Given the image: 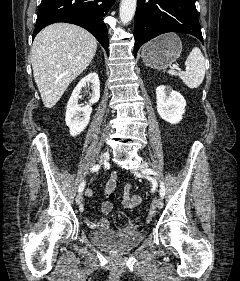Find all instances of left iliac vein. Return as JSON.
<instances>
[{
  "mask_svg": "<svg viewBox=\"0 0 240 281\" xmlns=\"http://www.w3.org/2000/svg\"><path fill=\"white\" fill-rule=\"evenodd\" d=\"M147 163L145 161H142L140 164H139V167L134 171L135 174H138L140 175V172L145 170L147 168ZM156 206L158 209H161L163 207V200L161 197L158 198V200L156 201Z\"/></svg>",
  "mask_w": 240,
  "mask_h": 281,
  "instance_id": "left-iliac-vein-1",
  "label": "left iliac vein"
}]
</instances>
